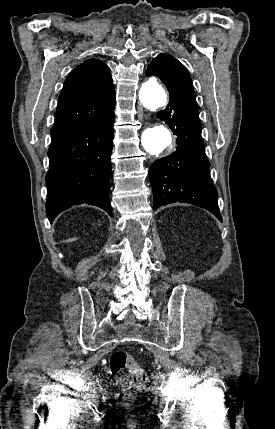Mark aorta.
<instances>
[{"instance_id":"obj_1","label":"aorta","mask_w":275,"mask_h":429,"mask_svg":"<svg viewBox=\"0 0 275 429\" xmlns=\"http://www.w3.org/2000/svg\"><path fill=\"white\" fill-rule=\"evenodd\" d=\"M139 100L146 109L154 111L166 105L167 95L157 79L152 78L143 83L139 91ZM172 141L170 130L163 125L149 127L141 135L144 149L156 156L166 148H171Z\"/></svg>"}]
</instances>
